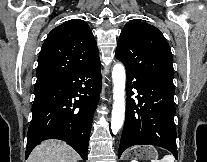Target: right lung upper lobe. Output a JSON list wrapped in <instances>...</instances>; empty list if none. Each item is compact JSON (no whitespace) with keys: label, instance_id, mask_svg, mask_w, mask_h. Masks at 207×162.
I'll return each instance as SVG.
<instances>
[{"label":"right lung upper lobe","instance_id":"right-lung-upper-lobe-1","mask_svg":"<svg viewBox=\"0 0 207 162\" xmlns=\"http://www.w3.org/2000/svg\"><path fill=\"white\" fill-rule=\"evenodd\" d=\"M100 62L93 34L86 22L72 19L54 28L38 57L36 83Z\"/></svg>","mask_w":207,"mask_h":162}]
</instances>
